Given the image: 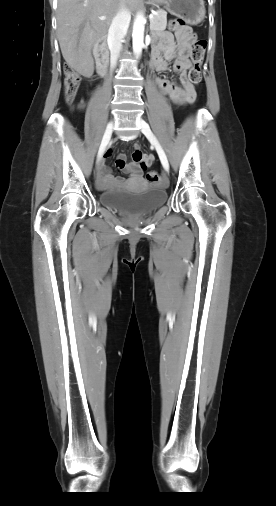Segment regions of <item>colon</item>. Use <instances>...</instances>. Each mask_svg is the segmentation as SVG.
Returning <instances> with one entry per match:
<instances>
[{"label": "colon", "mask_w": 276, "mask_h": 506, "mask_svg": "<svg viewBox=\"0 0 276 506\" xmlns=\"http://www.w3.org/2000/svg\"><path fill=\"white\" fill-rule=\"evenodd\" d=\"M169 28L174 32H179L187 28L186 23L181 18H172L169 22ZM207 42L205 39H198L194 42L190 59L192 61V68L189 70L188 79L192 84H199L202 81V65L204 61ZM64 96L67 103H72L77 95L81 77L78 72L66 66L64 69ZM140 159L141 156H136ZM146 180L154 185H166V181L162 175L156 171H150L146 174Z\"/></svg>", "instance_id": "1"}]
</instances>
